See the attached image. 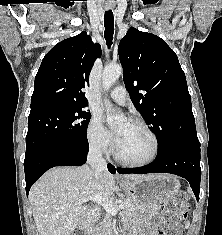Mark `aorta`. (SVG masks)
Here are the masks:
<instances>
[{"label": "aorta", "instance_id": "762f6f07", "mask_svg": "<svg viewBox=\"0 0 222 235\" xmlns=\"http://www.w3.org/2000/svg\"><path fill=\"white\" fill-rule=\"evenodd\" d=\"M123 70L121 65L112 64L108 65L104 68L102 73V85L104 89L107 91L115 81L121 76ZM105 104L110 110V113L107 115V122L110 125H116L123 120L122 114H116L111 111V104L108 100H105Z\"/></svg>", "mask_w": 222, "mask_h": 235}]
</instances>
